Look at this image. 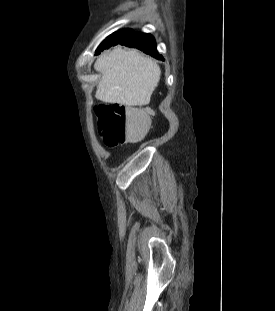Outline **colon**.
Masks as SVG:
<instances>
[{"mask_svg":"<svg viewBox=\"0 0 275 311\" xmlns=\"http://www.w3.org/2000/svg\"><path fill=\"white\" fill-rule=\"evenodd\" d=\"M96 112L99 133L107 147L142 139L150 129V110L100 105Z\"/></svg>","mask_w":275,"mask_h":311,"instance_id":"1","label":"colon"}]
</instances>
